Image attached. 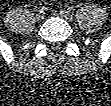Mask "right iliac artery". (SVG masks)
<instances>
[{
    "mask_svg": "<svg viewBox=\"0 0 111 106\" xmlns=\"http://www.w3.org/2000/svg\"><path fill=\"white\" fill-rule=\"evenodd\" d=\"M46 10H48V8L46 6H41L40 7V11L45 12Z\"/></svg>",
    "mask_w": 111,
    "mask_h": 106,
    "instance_id": "82829eb1",
    "label": "right iliac artery"
}]
</instances>
